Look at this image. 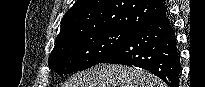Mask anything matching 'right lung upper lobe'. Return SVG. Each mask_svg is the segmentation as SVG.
I'll use <instances>...</instances> for the list:
<instances>
[{"label":"right lung upper lobe","instance_id":"1","mask_svg":"<svg viewBox=\"0 0 205 87\" xmlns=\"http://www.w3.org/2000/svg\"><path fill=\"white\" fill-rule=\"evenodd\" d=\"M165 12L163 0H77L61 21L56 42L101 29L135 31Z\"/></svg>","mask_w":205,"mask_h":87}]
</instances>
